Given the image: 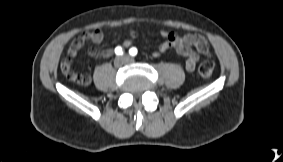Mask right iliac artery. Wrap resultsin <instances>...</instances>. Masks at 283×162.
Listing matches in <instances>:
<instances>
[{
  "label": "right iliac artery",
  "instance_id": "1",
  "mask_svg": "<svg viewBox=\"0 0 283 162\" xmlns=\"http://www.w3.org/2000/svg\"><path fill=\"white\" fill-rule=\"evenodd\" d=\"M115 53L116 55H122L123 54L122 48L120 46H117L115 48Z\"/></svg>",
  "mask_w": 283,
  "mask_h": 162
}]
</instances>
